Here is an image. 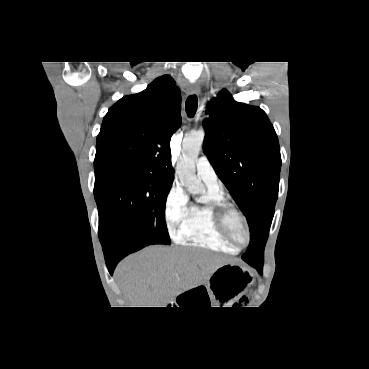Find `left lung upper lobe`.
I'll return each instance as SVG.
<instances>
[{
	"instance_id": "5c2ea615",
	"label": "left lung upper lobe",
	"mask_w": 369,
	"mask_h": 369,
	"mask_svg": "<svg viewBox=\"0 0 369 369\" xmlns=\"http://www.w3.org/2000/svg\"><path fill=\"white\" fill-rule=\"evenodd\" d=\"M203 151L247 218L250 244L242 259L263 263L278 197L281 156L265 112L222 90L208 104Z\"/></svg>"
}]
</instances>
